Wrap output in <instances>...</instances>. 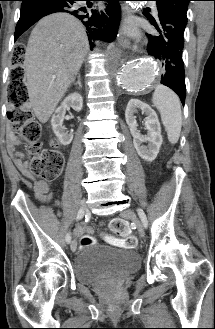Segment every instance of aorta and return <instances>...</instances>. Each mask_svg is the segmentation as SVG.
<instances>
[{"instance_id":"aorta-1","label":"aorta","mask_w":215,"mask_h":329,"mask_svg":"<svg viewBox=\"0 0 215 329\" xmlns=\"http://www.w3.org/2000/svg\"><path fill=\"white\" fill-rule=\"evenodd\" d=\"M116 78L126 91H143L155 80L157 67L150 61L121 60L114 69Z\"/></svg>"}]
</instances>
